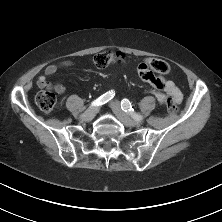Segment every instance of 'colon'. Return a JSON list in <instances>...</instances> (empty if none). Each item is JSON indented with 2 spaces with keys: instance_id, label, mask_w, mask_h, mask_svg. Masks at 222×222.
I'll return each instance as SVG.
<instances>
[{
  "instance_id": "obj_1",
  "label": "colon",
  "mask_w": 222,
  "mask_h": 222,
  "mask_svg": "<svg viewBox=\"0 0 222 222\" xmlns=\"http://www.w3.org/2000/svg\"><path fill=\"white\" fill-rule=\"evenodd\" d=\"M124 61L125 56L120 52L114 51H101L92 57V63L98 68L119 64ZM141 69L150 70L152 73L163 75L169 72L168 64L160 59H147L143 61L139 65L138 71ZM35 103L44 113H51L56 108V95L51 90H41L35 96ZM166 103L170 113H175L177 111L176 103L172 98H168Z\"/></svg>"
}]
</instances>
